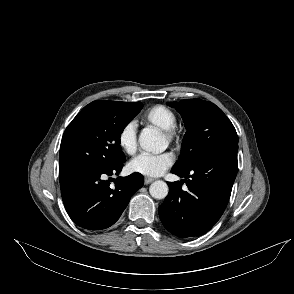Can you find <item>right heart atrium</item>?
<instances>
[{
  "label": "right heart atrium",
  "mask_w": 294,
  "mask_h": 294,
  "mask_svg": "<svg viewBox=\"0 0 294 294\" xmlns=\"http://www.w3.org/2000/svg\"><path fill=\"white\" fill-rule=\"evenodd\" d=\"M117 141L126 154H133L137 149V127L134 121L127 122L119 131Z\"/></svg>",
  "instance_id": "obj_1"
}]
</instances>
